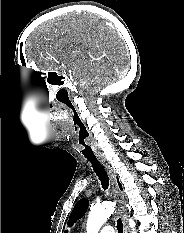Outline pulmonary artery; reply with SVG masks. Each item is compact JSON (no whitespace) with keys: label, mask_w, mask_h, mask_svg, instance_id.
<instances>
[{"label":"pulmonary artery","mask_w":184,"mask_h":233,"mask_svg":"<svg viewBox=\"0 0 184 233\" xmlns=\"http://www.w3.org/2000/svg\"><path fill=\"white\" fill-rule=\"evenodd\" d=\"M100 233H115V230L112 226L110 225H107V226H104L101 230H100Z\"/></svg>","instance_id":"e3ab8cb5"}]
</instances>
